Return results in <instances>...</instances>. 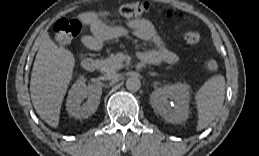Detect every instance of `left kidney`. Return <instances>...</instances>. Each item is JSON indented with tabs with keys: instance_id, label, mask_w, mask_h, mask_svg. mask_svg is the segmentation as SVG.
<instances>
[{
	"instance_id": "obj_1",
	"label": "left kidney",
	"mask_w": 259,
	"mask_h": 156,
	"mask_svg": "<svg viewBox=\"0 0 259 156\" xmlns=\"http://www.w3.org/2000/svg\"><path fill=\"white\" fill-rule=\"evenodd\" d=\"M174 103L171 106L170 101ZM154 110L171 123H181L188 119L190 86L186 83L165 85L154 90L150 97Z\"/></svg>"
}]
</instances>
